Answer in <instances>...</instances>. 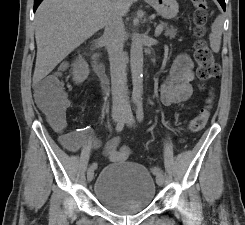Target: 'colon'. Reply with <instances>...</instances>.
<instances>
[{
	"instance_id": "obj_1",
	"label": "colon",
	"mask_w": 245,
	"mask_h": 225,
	"mask_svg": "<svg viewBox=\"0 0 245 225\" xmlns=\"http://www.w3.org/2000/svg\"><path fill=\"white\" fill-rule=\"evenodd\" d=\"M196 25L194 33L201 36L204 32L206 22V0H192ZM194 59L197 64V72L201 79L210 80L218 77L220 68L216 63L211 50L204 41H197L194 47ZM36 100L50 115L59 117L69 107V100L64 90L61 78H45L36 91ZM211 97H208L206 105L200 113L189 121L188 130L192 133L198 132L205 127L211 113ZM63 143L68 145V136L63 138Z\"/></svg>"
}]
</instances>
